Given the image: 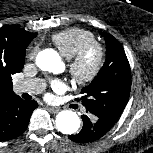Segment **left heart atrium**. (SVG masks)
I'll return each mask as SVG.
<instances>
[{
  "mask_svg": "<svg viewBox=\"0 0 153 153\" xmlns=\"http://www.w3.org/2000/svg\"><path fill=\"white\" fill-rule=\"evenodd\" d=\"M52 87H53V89L60 91L63 89L64 86H63L62 82H60L58 80H54V81H52Z\"/></svg>",
  "mask_w": 153,
  "mask_h": 153,
  "instance_id": "obj_1",
  "label": "left heart atrium"
}]
</instances>
